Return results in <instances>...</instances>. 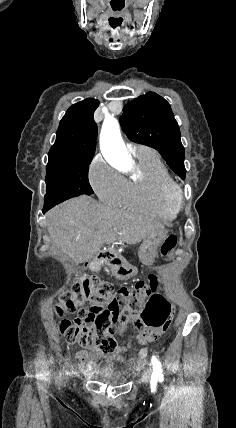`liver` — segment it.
<instances>
[{
    "label": "liver",
    "instance_id": "1",
    "mask_svg": "<svg viewBox=\"0 0 236 428\" xmlns=\"http://www.w3.org/2000/svg\"><path fill=\"white\" fill-rule=\"evenodd\" d=\"M50 238L76 264L92 260L103 244H139L163 224L143 214L117 212L91 196H79L55 206L47 214ZM166 234V232H165Z\"/></svg>",
    "mask_w": 236,
    "mask_h": 428
}]
</instances>
